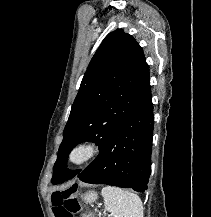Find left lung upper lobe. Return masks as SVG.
Returning <instances> with one entry per match:
<instances>
[{
	"label": "left lung upper lobe",
	"mask_w": 211,
	"mask_h": 217,
	"mask_svg": "<svg viewBox=\"0 0 211 217\" xmlns=\"http://www.w3.org/2000/svg\"><path fill=\"white\" fill-rule=\"evenodd\" d=\"M151 96L149 66L136 40L121 29L109 33L82 79L63 132L53 168V184L77 176L67 157L78 143L95 142L100 149L112 131Z\"/></svg>",
	"instance_id": "5c2ea615"
}]
</instances>
